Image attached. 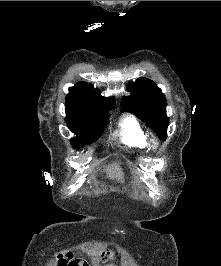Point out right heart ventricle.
<instances>
[{
	"instance_id": "right-heart-ventricle-1",
	"label": "right heart ventricle",
	"mask_w": 221,
	"mask_h": 266,
	"mask_svg": "<svg viewBox=\"0 0 221 266\" xmlns=\"http://www.w3.org/2000/svg\"><path fill=\"white\" fill-rule=\"evenodd\" d=\"M120 141L129 147L146 149L149 146L148 137L144 129L133 116H125L119 126Z\"/></svg>"
}]
</instances>
